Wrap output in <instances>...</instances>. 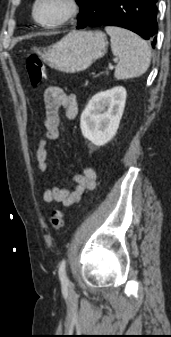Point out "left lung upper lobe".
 Wrapping results in <instances>:
<instances>
[{
    "mask_svg": "<svg viewBox=\"0 0 171 337\" xmlns=\"http://www.w3.org/2000/svg\"><path fill=\"white\" fill-rule=\"evenodd\" d=\"M89 0H76V2L78 3V5L80 6V13L78 16V19L81 17V15L83 14L85 8H86V4Z\"/></svg>",
    "mask_w": 171,
    "mask_h": 337,
    "instance_id": "left-lung-upper-lobe-1",
    "label": "left lung upper lobe"
}]
</instances>
